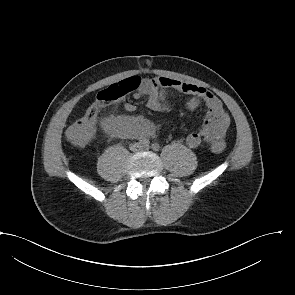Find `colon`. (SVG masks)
Masks as SVG:
<instances>
[{"instance_id":"colon-1","label":"colon","mask_w":295,"mask_h":295,"mask_svg":"<svg viewBox=\"0 0 295 295\" xmlns=\"http://www.w3.org/2000/svg\"><path fill=\"white\" fill-rule=\"evenodd\" d=\"M140 85L141 78L134 76L100 91L83 116L67 129L66 137L68 141L75 146L86 145L93 137L100 110L121 101L126 94L138 90ZM210 147L214 152H222L225 149V142L216 140L210 144Z\"/></svg>"}]
</instances>
